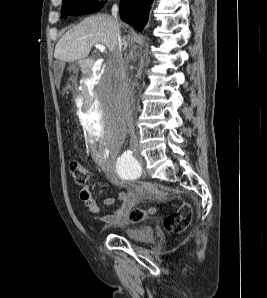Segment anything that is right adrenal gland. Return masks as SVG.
I'll return each mask as SVG.
<instances>
[{
    "label": "right adrenal gland",
    "mask_w": 267,
    "mask_h": 298,
    "mask_svg": "<svg viewBox=\"0 0 267 298\" xmlns=\"http://www.w3.org/2000/svg\"><path fill=\"white\" fill-rule=\"evenodd\" d=\"M123 45H124V49H126L127 46H128V43L126 41V37L125 36L123 37Z\"/></svg>",
    "instance_id": "1"
}]
</instances>
